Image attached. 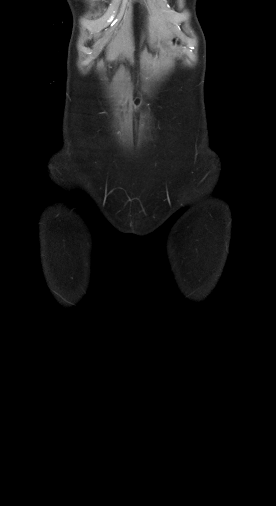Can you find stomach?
<instances>
[{
  "instance_id": "obj_1",
  "label": "stomach",
  "mask_w": 276,
  "mask_h": 506,
  "mask_svg": "<svg viewBox=\"0 0 276 506\" xmlns=\"http://www.w3.org/2000/svg\"><path fill=\"white\" fill-rule=\"evenodd\" d=\"M171 43L175 46V47H179V46H182L183 45V42L181 41V39L177 36H174L172 37L171 39Z\"/></svg>"
}]
</instances>
